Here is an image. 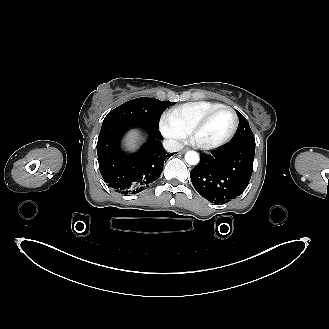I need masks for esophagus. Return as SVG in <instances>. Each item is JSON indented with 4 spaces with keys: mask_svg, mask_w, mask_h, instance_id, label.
<instances>
[{
    "mask_svg": "<svg viewBox=\"0 0 329 329\" xmlns=\"http://www.w3.org/2000/svg\"><path fill=\"white\" fill-rule=\"evenodd\" d=\"M188 149L187 148H184L180 151L181 154L185 153Z\"/></svg>",
    "mask_w": 329,
    "mask_h": 329,
    "instance_id": "obj_1",
    "label": "esophagus"
}]
</instances>
